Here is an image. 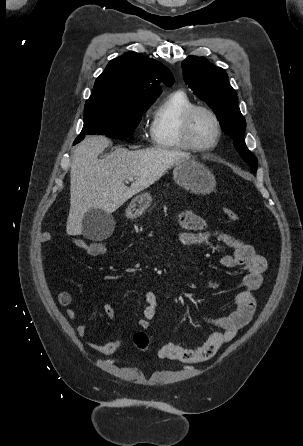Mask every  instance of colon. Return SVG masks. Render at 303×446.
I'll use <instances>...</instances> for the list:
<instances>
[{"mask_svg": "<svg viewBox=\"0 0 303 446\" xmlns=\"http://www.w3.org/2000/svg\"><path fill=\"white\" fill-rule=\"evenodd\" d=\"M224 214L226 217L233 222L238 221L239 216L237 212L231 208L225 207L223 209ZM107 252V245L104 242H94L90 243V248L88 249L87 253L92 257H101ZM133 342L135 346L141 350H146L149 348V339L147 335L143 332H138L133 336Z\"/></svg>", "mask_w": 303, "mask_h": 446, "instance_id": "obj_1", "label": "colon"}]
</instances>
